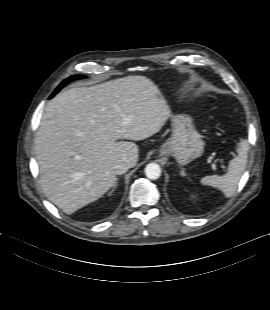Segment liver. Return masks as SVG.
Listing matches in <instances>:
<instances>
[{
    "label": "liver",
    "instance_id": "obj_1",
    "mask_svg": "<svg viewBox=\"0 0 270 310\" xmlns=\"http://www.w3.org/2000/svg\"><path fill=\"white\" fill-rule=\"evenodd\" d=\"M171 117L158 87L126 76L59 93L45 108L35 138L44 194L66 214L104 195L116 182L115 164L138 161V146Z\"/></svg>",
    "mask_w": 270,
    "mask_h": 310
}]
</instances>
